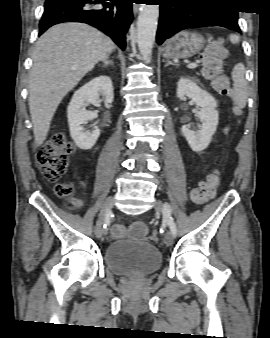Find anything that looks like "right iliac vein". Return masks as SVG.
<instances>
[{"instance_id": "obj_1", "label": "right iliac vein", "mask_w": 270, "mask_h": 338, "mask_svg": "<svg viewBox=\"0 0 270 338\" xmlns=\"http://www.w3.org/2000/svg\"><path fill=\"white\" fill-rule=\"evenodd\" d=\"M113 204H114V199L112 197H109L104 201L102 205L100 215H99V218L96 222L95 229H94L95 235L98 238H100L102 235L103 223H104L105 217L107 213L112 209Z\"/></svg>"}]
</instances>
